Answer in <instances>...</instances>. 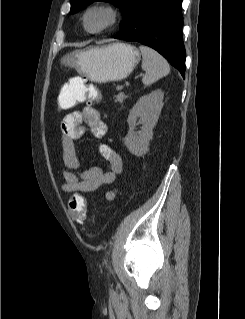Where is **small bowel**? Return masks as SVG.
<instances>
[{"label":"small bowel","mask_w":245,"mask_h":319,"mask_svg":"<svg viewBox=\"0 0 245 319\" xmlns=\"http://www.w3.org/2000/svg\"><path fill=\"white\" fill-rule=\"evenodd\" d=\"M83 84L81 77H72L65 83L59 93L58 104H64L67 99H73ZM89 130L98 139L103 138L107 132V125L101 114L94 107L87 105L81 109L66 114L61 121V147L63 161L66 166L64 171L65 183L62 187L64 192H98L100 187L111 184L116 177L123 172V162L119 154L108 144H101L99 147L102 157L108 163V169L90 167L87 170L79 171L80 159L75 146V141L80 139ZM117 190L112 189L105 195L107 200L116 196Z\"/></svg>","instance_id":"1"}]
</instances>
